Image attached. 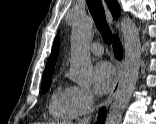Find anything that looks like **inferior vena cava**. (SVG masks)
Masks as SVG:
<instances>
[{
  "label": "inferior vena cava",
  "mask_w": 156,
  "mask_h": 124,
  "mask_svg": "<svg viewBox=\"0 0 156 124\" xmlns=\"http://www.w3.org/2000/svg\"><path fill=\"white\" fill-rule=\"evenodd\" d=\"M92 111H93L92 109H89L88 113L91 114ZM90 119H91V116H85L78 124H89Z\"/></svg>",
  "instance_id": "602c4592"
}]
</instances>
